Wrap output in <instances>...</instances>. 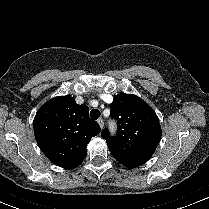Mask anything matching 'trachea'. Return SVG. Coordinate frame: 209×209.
Returning <instances> with one entry per match:
<instances>
[{"label": "trachea", "instance_id": "trachea-1", "mask_svg": "<svg viewBox=\"0 0 209 209\" xmlns=\"http://www.w3.org/2000/svg\"><path fill=\"white\" fill-rule=\"evenodd\" d=\"M101 113L97 109H93L90 111V116L93 120H97L100 117Z\"/></svg>", "mask_w": 209, "mask_h": 209}]
</instances>
